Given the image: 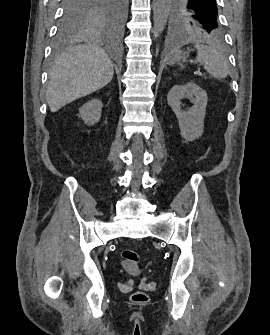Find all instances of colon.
Masks as SVG:
<instances>
[{"label": "colon", "mask_w": 270, "mask_h": 335, "mask_svg": "<svg viewBox=\"0 0 270 335\" xmlns=\"http://www.w3.org/2000/svg\"><path fill=\"white\" fill-rule=\"evenodd\" d=\"M121 260L124 268L134 270L139 265L140 253L133 248L123 249L121 252ZM131 299L136 303H145L148 301V294L143 291L134 292Z\"/></svg>", "instance_id": "colon-1"}]
</instances>
